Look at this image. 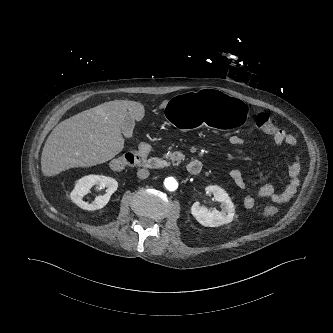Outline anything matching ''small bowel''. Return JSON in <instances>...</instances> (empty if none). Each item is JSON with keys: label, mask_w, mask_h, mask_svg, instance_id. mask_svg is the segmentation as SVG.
Listing matches in <instances>:
<instances>
[{"label": "small bowel", "mask_w": 333, "mask_h": 333, "mask_svg": "<svg viewBox=\"0 0 333 333\" xmlns=\"http://www.w3.org/2000/svg\"><path fill=\"white\" fill-rule=\"evenodd\" d=\"M272 139L275 145L286 144L290 147H293L297 143L295 136L288 133L284 128L281 127H277V134L275 136H272ZM229 143L235 147H242L247 144V141L244 137L240 135H232L229 137ZM300 169V158L298 155H293L291 165L288 171L289 179L285 188L281 191H277L271 184L261 185L255 190L253 194L247 195L244 198V206L250 209L254 207L258 199H270L271 201L276 203H283L288 201L294 195L299 185L298 175L300 173ZM229 177L239 189L244 190L246 188V181L240 169H232L229 172Z\"/></svg>", "instance_id": "c3829d8e"}]
</instances>
